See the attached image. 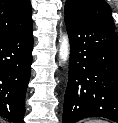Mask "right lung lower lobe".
Here are the masks:
<instances>
[{"label":"right lung lower lobe","instance_id":"right-lung-lower-lobe-1","mask_svg":"<svg viewBox=\"0 0 118 123\" xmlns=\"http://www.w3.org/2000/svg\"><path fill=\"white\" fill-rule=\"evenodd\" d=\"M33 27L0 39V116L23 123L33 50Z\"/></svg>","mask_w":118,"mask_h":123}]
</instances>
